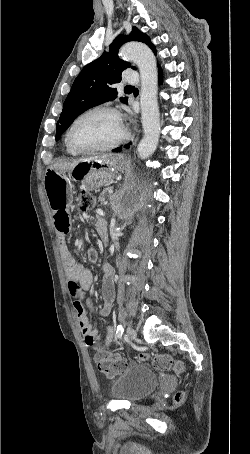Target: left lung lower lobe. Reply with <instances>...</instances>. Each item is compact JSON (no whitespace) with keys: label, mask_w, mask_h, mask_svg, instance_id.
I'll list each match as a JSON object with an SVG mask.
<instances>
[{"label":"left lung lower lobe","mask_w":250,"mask_h":454,"mask_svg":"<svg viewBox=\"0 0 250 454\" xmlns=\"http://www.w3.org/2000/svg\"><path fill=\"white\" fill-rule=\"evenodd\" d=\"M159 83H162V75H161V70H160V68H159ZM125 147L128 148L129 145H126ZM113 151L119 152V151H121V147H118V148L114 149Z\"/></svg>","instance_id":"left-lung-lower-lobe-1"}]
</instances>
